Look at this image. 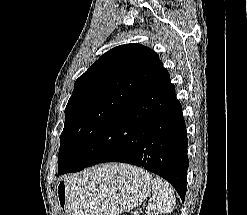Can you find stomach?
Wrapping results in <instances>:
<instances>
[{"label": "stomach", "instance_id": "1", "mask_svg": "<svg viewBox=\"0 0 247 215\" xmlns=\"http://www.w3.org/2000/svg\"><path fill=\"white\" fill-rule=\"evenodd\" d=\"M113 164L88 169L56 185L63 215H118L141 204L150 194L151 177L142 169Z\"/></svg>", "mask_w": 247, "mask_h": 215}]
</instances>
